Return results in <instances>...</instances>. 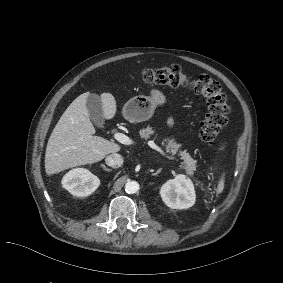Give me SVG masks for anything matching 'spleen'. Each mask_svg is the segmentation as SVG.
Returning a JSON list of instances; mask_svg holds the SVG:
<instances>
[{
    "label": "spleen",
    "instance_id": "1",
    "mask_svg": "<svg viewBox=\"0 0 283 283\" xmlns=\"http://www.w3.org/2000/svg\"><path fill=\"white\" fill-rule=\"evenodd\" d=\"M223 189V184H220L219 185V190H222Z\"/></svg>",
    "mask_w": 283,
    "mask_h": 283
}]
</instances>
